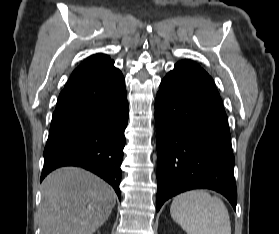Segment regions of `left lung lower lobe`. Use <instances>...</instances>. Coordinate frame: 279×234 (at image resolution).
I'll list each match as a JSON object with an SVG mask.
<instances>
[{
    "instance_id": "left-lung-lower-lobe-1",
    "label": "left lung lower lobe",
    "mask_w": 279,
    "mask_h": 234,
    "mask_svg": "<svg viewBox=\"0 0 279 234\" xmlns=\"http://www.w3.org/2000/svg\"><path fill=\"white\" fill-rule=\"evenodd\" d=\"M157 211L181 192L207 188L236 210L234 155L228 119L213 79L180 61L162 80L155 101Z\"/></svg>"
}]
</instances>
